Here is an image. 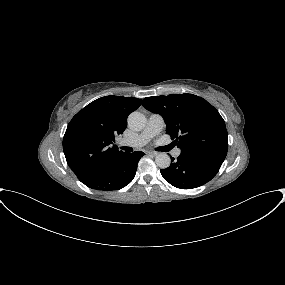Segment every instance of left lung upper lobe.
I'll return each mask as SVG.
<instances>
[{
	"instance_id": "obj_1",
	"label": "left lung upper lobe",
	"mask_w": 285,
	"mask_h": 285,
	"mask_svg": "<svg viewBox=\"0 0 285 285\" xmlns=\"http://www.w3.org/2000/svg\"><path fill=\"white\" fill-rule=\"evenodd\" d=\"M142 104L164 118L166 134L175 139L182 154L224 161L228 150L225 122L205 99L187 93L171 94L146 97Z\"/></svg>"
}]
</instances>
